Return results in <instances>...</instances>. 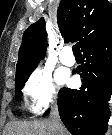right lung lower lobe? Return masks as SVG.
<instances>
[{"instance_id": "1", "label": "right lung lower lobe", "mask_w": 112, "mask_h": 135, "mask_svg": "<svg viewBox=\"0 0 112 135\" xmlns=\"http://www.w3.org/2000/svg\"><path fill=\"white\" fill-rule=\"evenodd\" d=\"M82 52L85 63L77 68V73L82 77V86L78 90H60L59 114L73 135H103L110 117L108 101L112 94V35L84 47Z\"/></svg>"}]
</instances>
